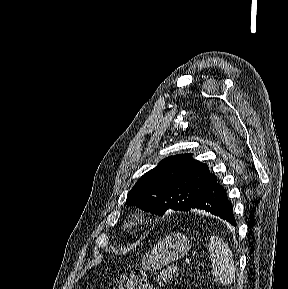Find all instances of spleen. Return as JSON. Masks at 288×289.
<instances>
[{
    "label": "spleen",
    "instance_id": "spleen-1",
    "mask_svg": "<svg viewBox=\"0 0 288 289\" xmlns=\"http://www.w3.org/2000/svg\"><path fill=\"white\" fill-rule=\"evenodd\" d=\"M213 278L223 285L235 282V266L231 249L221 238L212 236L209 243Z\"/></svg>",
    "mask_w": 288,
    "mask_h": 289
}]
</instances>
